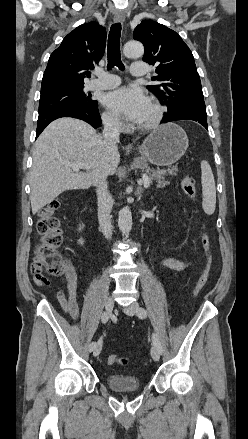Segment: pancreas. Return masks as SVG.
I'll return each instance as SVG.
<instances>
[{
    "instance_id": "1",
    "label": "pancreas",
    "mask_w": 248,
    "mask_h": 439,
    "mask_svg": "<svg viewBox=\"0 0 248 439\" xmlns=\"http://www.w3.org/2000/svg\"><path fill=\"white\" fill-rule=\"evenodd\" d=\"M176 171H178L177 167H172L170 169H148V177L150 181H156L158 187H165L169 184V181L165 179V176L167 174L169 175H175Z\"/></svg>"
}]
</instances>
